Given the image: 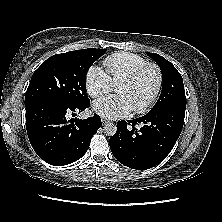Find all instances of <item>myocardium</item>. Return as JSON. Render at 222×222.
<instances>
[{
	"label": "myocardium",
	"mask_w": 222,
	"mask_h": 222,
	"mask_svg": "<svg viewBox=\"0 0 222 222\" xmlns=\"http://www.w3.org/2000/svg\"><path fill=\"white\" fill-rule=\"evenodd\" d=\"M147 69H153L156 72L157 83H156L155 90H154L153 94L151 95V97L142 106L132 109L133 112H135L137 114H141V113H144L147 110H149L153 106V104L156 102V100L158 99V97L161 93V90H162V86H163V73H162L161 68L155 63H146V64L138 67L136 70H134L130 75H128L126 78H124L118 84V86H119V85H127V84L133 83Z\"/></svg>",
	"instance_id": "1"
}]
</instances>
